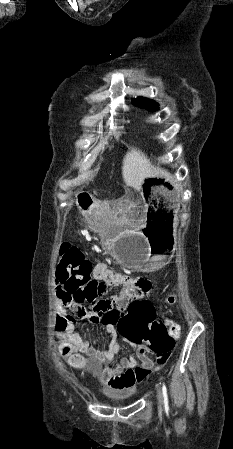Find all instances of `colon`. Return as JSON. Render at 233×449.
<instances>
[{
  "instance_id": "colon-1",
  "label": "colon",
  "mask_w": 233,
  "mask_h": 449,
  "mask_svg": "<svg viewBox=\"0 0 233 449\" xmlns=\"http://www.w3.org/2000/svg\"><path fill=\"white\" fill-rule=\"evenodd\" d=\"M60 255L59 273L64 278L65 293L69 294L76 304H86L87 309L96 316L97 310L88 307L99 300L94 296L98 283L92 278L91 262L79 248L68 243L62 244ZM176 300V295L171 294L166 299V304L172 306ZM104 309L103 314L99 313L102 318L108 317L110 327L117 328L120 338H125L127 343H134L135 349H149L155 355L170 354L175 340L180 335V330L176 326L169 331L166 330L164 323L156 317L155 310L147 301H129L128 306L121 310L117 307ZM71 319H73L71 315L58 317V328L63 330ZM62 354L73 366H82L81 357L72 354L69 345L62 347Z\"/></svg>"
}]
</instances>
